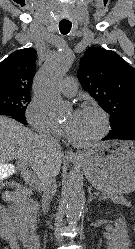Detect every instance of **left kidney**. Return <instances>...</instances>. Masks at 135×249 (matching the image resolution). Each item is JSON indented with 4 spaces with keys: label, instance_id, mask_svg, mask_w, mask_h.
<instances>
[{
    "label": "left kidney",
    "instance_id": "1",
    "mask_svg": "<svg viewBox=\"0 0 135 249\" xmlns=\"http://www.w3.org/2000/svg\"><path fill=\"white\" fill-rule=\"evenodd\" d=\"M130 239L123 219L115 221V228L107 241V249H129Z\"/></svg>",
    "mask_w": 135,
    "mask_h": 249
}]
</instances>
